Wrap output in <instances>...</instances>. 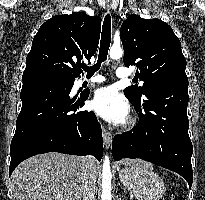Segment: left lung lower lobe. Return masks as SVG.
I'll use <instances>...</instances> for the list:
<instances>
[{"instance_id": "1", "label": "left lung lower lobe", "mask_w": 205, "mask_h": 200, "mask_svg": "<svg viewBox=\"0 0 205 200\" xmlns=\"http://www.w3.org/2000/svg\"><path fill=\"white\" fill-rule=\"evenodd\" d=\"M188 83H159L143 99L131 102L139 115L138 125L117 135L112 143L115 160L140 158L183 176L192 186L193 147L188 134Z\"/></svg>"}]
</instances>
